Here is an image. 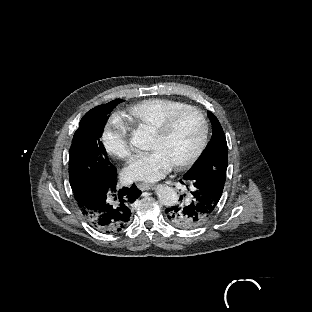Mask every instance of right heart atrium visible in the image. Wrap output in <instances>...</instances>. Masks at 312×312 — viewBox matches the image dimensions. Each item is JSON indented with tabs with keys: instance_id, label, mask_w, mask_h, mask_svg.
I'll list each match as a JSON object with an SVG mask.
<instances>
[{
	"instance_id": "1",
	"label": "right heart atrium",
	"mask_w": 312,
	"mask_h": 312,
	"mask_svg": "<svg viewBox=\"0 0 312 312\" xmlns=\"http://www.w3.org/2000/svg\"><path fill=\"white\" fill-rule=\"evenodd\" d=\"M103 140L107 143L105 155L113 162H127L135 156V142L127 130L126 124L115 117L103 122Z\"/></svg>"
}]
</instances>
